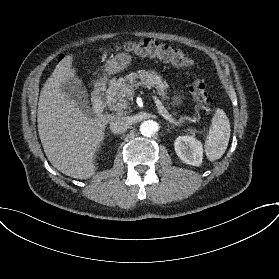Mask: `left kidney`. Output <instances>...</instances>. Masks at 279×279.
Returning <instances> with one entry per match:
<instances>
[{"label": "left kidney", "mask_w": 279, "mask_h": 279, "mask_svg": "<svg viewBox=\"0 0 279 279\" xmlns=\"http://www.w3.org/2000/svg\"><path fill=\"white\" fill-rule=\"evenodd\" d=\"M175 151L180 159L188 165L199 166L202 162V145L193 137L179 136L175 140Z\"/></svg>", "instance_id": "left-kidney-1"}]
</instances>
